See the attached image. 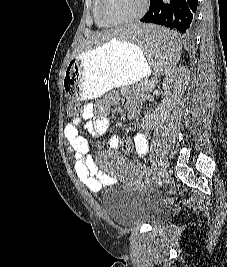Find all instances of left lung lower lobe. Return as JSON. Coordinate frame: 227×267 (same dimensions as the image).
<instances>
[{"label": "left lung lower lobe", "instance_id": "0a47b994", "mask_svg": "<svg viewBox=\"0 0 227 267\" xmlns=\"http://www.w3.org/2000/svg\"><path fill=\"white\" fill-rule=\"evenodd\" d=\"M197 5L198 0H150L140 22L164 25L187 38L195 30Z\"/></svg>", "mask_w": 227, "mask_h": 267}]
</instances>
